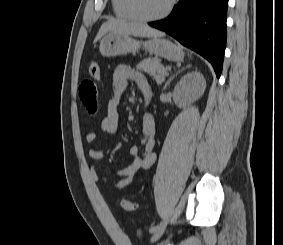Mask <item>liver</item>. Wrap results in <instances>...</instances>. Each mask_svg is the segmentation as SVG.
Here are the masks:
<instances>
[{
  "mask_svg": "<svg viewBox=\"0 0 283 245\" xmlns=\"http://www.w3.org/2000/svg\"><path fill=\"white\" fill-rule=\"evenodd\" d=\"M107 33H124L138 37H161L164 35L162 32L152 29L145 24L110 19L103 23L94 39V43L100 40Z\"/></svg>",
  "mask_w": 283,
  "mask_h": 245,
  "instance_id": "1",
  "label": "liver"
}]
</instances>
